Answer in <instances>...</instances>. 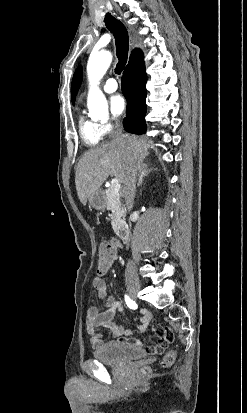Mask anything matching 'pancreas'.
<instances>
[{"label":"pancreas","mask_w":247,"mask_h":413,"mask_svg":"<svg viewBox=\"0 0 247 413\" xmlns=\"http://www.w3.org/2000/svg\"><path fill=\"white\" fill-rule=\"evenodd\" d=\"M105 194L107 196V209L112 213V229L114 233H119L120 227L123 223V219H121V217H125V211H123L121 204L122 192H117L116 194L110 186V188H106Z\"/></svg>","instance_id":"cf45deb5"}]
</instances>
